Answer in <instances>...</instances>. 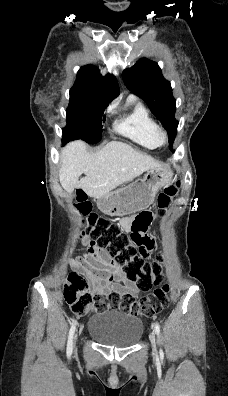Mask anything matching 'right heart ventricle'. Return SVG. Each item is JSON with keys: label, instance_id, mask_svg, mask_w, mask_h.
<instances>
[{"label": "right heart ventricle", "instance_id": "obj_1", "mask_svg": "<svg viewBox=\"0 0 228 396\" xmlns=\"http://www.w3.org/2000/svg\"><path fill=\"white\" fill-rule=\"evenodd\" d=\"M127 102L132 109L116 123V131L147 149L157 148L155 134L159 128L156 120L148 109L133 97L128 98Z\"/></svg>", "mask_w": 228, "mask_h": 396}]
</instances>
